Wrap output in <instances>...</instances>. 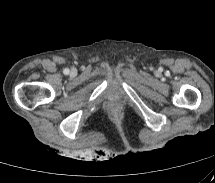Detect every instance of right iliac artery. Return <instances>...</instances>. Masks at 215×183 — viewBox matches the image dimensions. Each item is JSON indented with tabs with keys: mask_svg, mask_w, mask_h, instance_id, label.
<instances>
[{
	"mask_svg": "<svg viewBox=\"0 0 215 183\" xmlns=\"http://www.w3.org/2000/svg\"><path fill=\"white\" fill-rule=\"evenodd\" d=\"M64 73H65V74L69 73V70H68V69H65V70H64Z\"/></svg>",
	"mask_w": 215,
	"mask_h": 183,
	"instance_id": "right-iliac-artery-1",
	"label": "right iliac artery"
}]
</instances>
